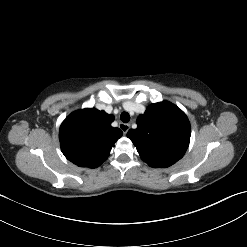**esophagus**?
Wrapping results in <instances>:
<instances>
[{"mask_svg":"<svg viewBox=\"0 0 247 247\" xmlns=\"http://www.w3.org/2000/svg\"><path fill=\"white\" fill-rule=\"evenodd\" d=\"M119 127L122 130L123 134H126L130 129V125L126 123H121Z\"/></svg>","mask_w":247,"mask_h":247,"instance_id":"1","label":"esophagus"}]
</instances>
